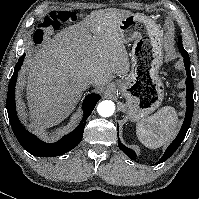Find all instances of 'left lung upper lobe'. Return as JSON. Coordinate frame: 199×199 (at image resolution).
Returning <instances> with one entry per match:
<instances>
[{
    "label": "left lung upper lobe",
    "mask_w": 199,
    "mask_h": 199,
    "mask_svg": "<svg viewBox=\"0 0 199 199\" xmlns=\"http://www.w3.org/2000/svg\"><path fill=\"white\" fill-rule=\"evenodd\" d=\"M178 43H181V44H182V38H181V37H179Z\"/></svg>",
    "instance_id": "1"
}]
</instances>
